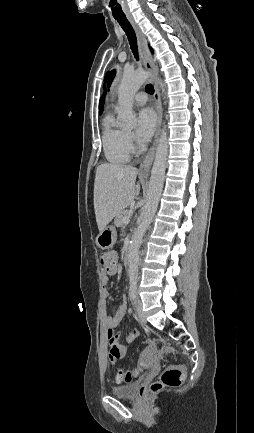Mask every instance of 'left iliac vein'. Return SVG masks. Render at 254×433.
Returning <instances> with one entry per match:
<instances>
[{
    "mask_svg": "<svg viewBox=\"0 0 254 433\" xmlns=\"http://www.w3.org/2000/svg\"><path fill=\"white\" fill-rule=\"evenodd\" d=\"M134 305L136 307V310L138 312L139 318L143 321L146 322V318H145V314L143 312V304L140 298H136L134 301Z\"/></svg>",
    "mask_w": 254,
    "mask_h": 433,
    "instance_id": "left-iliac-vein-1",
    "label": "left iliac vein"
}]
</instances>
